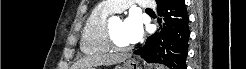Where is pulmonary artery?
I'll list each match as a JSON object with an SVG mask.
<instances>
[{"label":"pulmonary artery","mask_w":246,"mask_h":69,"mask_svg":"<svg viewBox=\"0 0 246 69\" xmlns=\"http://www.w3.org/2000/svg\"><path fill=\"white\" fill-rule=\"evenodd\" d=\"M106 3L115 12H120V11L126 9L129 4L134 3V1H131V0H108V1H106ZM137 4H139L142 7H146L148 9H152V7L154 6L153 2H148V1L137 2Z\"/></svg>","instance_id":"obj_1"}]
</instances>
